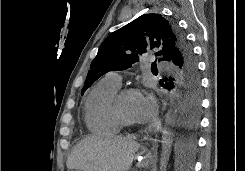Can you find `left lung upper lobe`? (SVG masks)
I'll return each instance as SVG.
<instances>
[{
    "label": "left lung upper lobe",
    "mask_w": 245,
    "mask_h": 171,
    "mask_svg": "<svg viewBox=\"0 0 245 171\" xmlns=\"http://www.w3.org/2000/svg\"><path fill=\"white\" fill-rule=\"evenodd\" d=\"M191 52L177 25L160 14H144L113 32L101 45L91 63L81 95L109 71L126 70L139 55L154 51L158 61H172L177 53ZM195 61L193 55L191 57ZM153 63L152 66H154ZM175 68V66H174Z\"/></svg>",
    "instance_id": "1"
}]
</instances>
